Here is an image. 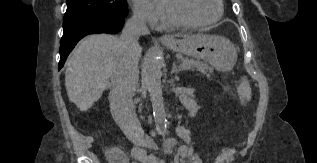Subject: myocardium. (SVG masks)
<instances>
[{
    "mask_svg": "<svg viewBox=\"0 0 317 163\" xmlns=\"http://www.w3.org/2000/svg\"><path fill=\"white\" fill-rule=\"evenodd\" d=\"M217 3L219 7V12L217 16L214 17L213 19L204 20V21H189L184 19L182 16L178 14V12L175 10L172 4V1L162 0L163 10L167 19L176 26L186 27V28L208 26L218 22L222 18L224 13V3H223V0H217Z\"/></svg>",
    "mask_w": 317,
    "mask_h": 163,
    "instance_id": "myocardium-1",
    "label": "myocardium"
}]
</instances>
